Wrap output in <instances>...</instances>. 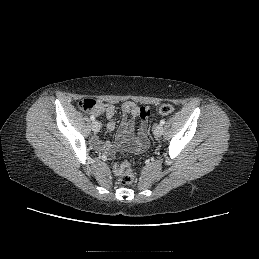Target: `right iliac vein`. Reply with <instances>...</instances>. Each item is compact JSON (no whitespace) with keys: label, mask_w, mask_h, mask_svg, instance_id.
Instances as JSON below:
<instances>
[{"label":"right iliac vein","mask_w":259,"mask_h":259,"mask_svg":"<svg viewBox=\"0 0 259 259\" xmlns=\"http://www.w3.org/2000/svg\"><path fill=\"white\" fill-rule=\"evenodd\" d=\"M100 123L98 122V121H94L93 123H92V130L94 131V132H98L99 130H100Z\"/></svg>","instance_id":"63e3f726"}]
</instances>
